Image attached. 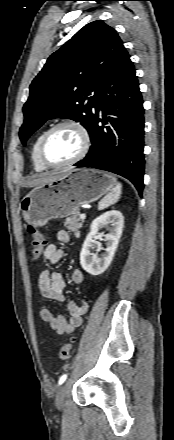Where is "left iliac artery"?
<instances>
[{"mask_svg": "<svg viewBox=\"0 0 174 440\" xmlns=\"http://www.w3.org/2000/svg\"><path fill=\"white\" fill-rule=\"evenodd\" d=\"M66 378H67V374L62 375V376L60 377V379H59L58 384H59V385L63 384L64 381L66 380Z\"/></svg>", "mask_w": 174, "mask_h": 440, "instance_id": "1", "label": "left iliac artery"}]
</instances>
